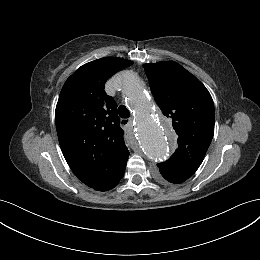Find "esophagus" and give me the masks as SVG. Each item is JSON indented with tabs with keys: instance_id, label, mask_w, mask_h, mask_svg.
I'll return each mask as SVG.
<instances>
[{
	"instance_id": "34e87169",
	"label": "esophagus",
	"mask_w": 260,
	"mask_h": 260,
	"mask_svg": "<svg viewBox=\"0 0 260 260\" xmlns=\"http://www.w3.org/2000/svg\"><path fill=\"white\" fill-rule=\"evenodd\" d=\"M130 119H122L121 120V126H126L127 124H129L130 123Z\"/></svg>"
}]
</instances>
